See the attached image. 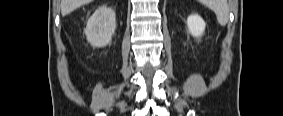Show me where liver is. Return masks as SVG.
Masks as SVG:
<instances>
[{"label": "liver", "mask_w": 283, "mask_h": 116, "mask_svg": "<svg viewBox=\"0 0 283 116\" xmlns=\"http://www.w3.org/2000/svg\"><path fill=\"white\" fill-rule=\"evenodd\" d=\"M91 1L92 0H61V4H60L61 14L62 16H66L75 9Z\"/></svg>", "instance_id": "obj_1"}]
</instances>
